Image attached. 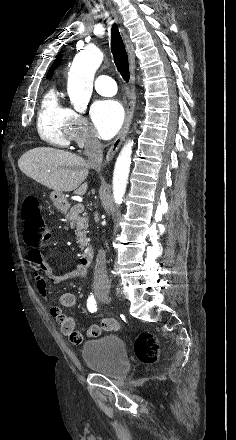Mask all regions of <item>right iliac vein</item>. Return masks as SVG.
Returning a JSON list of instances; mask_svg holds the SVG:
<instances>
[{
    "instance_id": "right-iliac-vein-1",
    "label": "right iliac vein",
    "mask_w": 236,
    "mask_h": 440,
    "mask_svg": "<svg viewBox=\"0 0 236 440\" xmlns=\"http://www.w3.org/2000/svg\"><path fill=\"white\" fill-rule=\"evenodd\" d=\"M98 295H99V297H100L103 301H106V302H110V301H111V298H110L108 292H100V293H98Z\"/></svg>"
}]
</instances>
